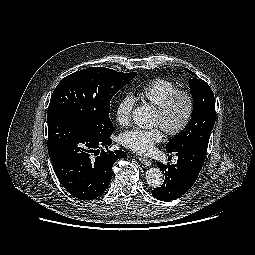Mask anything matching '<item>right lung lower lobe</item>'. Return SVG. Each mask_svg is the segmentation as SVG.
Masks as SVG:
<instances>
[{
	"label": "right lung lower lobe",
	"mask_w": 255,
	"mask_h": 255,
	"mask_svg": "<svg viewBox=\"0 0 255 255\" xmlns=\"http://www.w3.org/2000/svg\"><path fill=\"white\" fill-rule=\"evenodd\" d=\"M111 143L110 135L96 136L66 118L48 123L47 146L53 169L62 186L79 199L100 196L110 184L114 162L127 156L120 150L99 151ZM92 153L99 155L93 158Z\"/></svg>",
	"instance_id": "1"
}]
</instances>
